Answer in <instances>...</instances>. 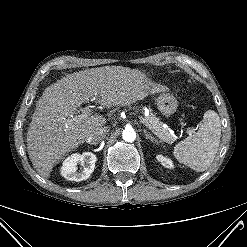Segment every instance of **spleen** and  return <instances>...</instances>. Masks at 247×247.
<instances>
[{"label": "spleen", "mask_w": 247, "mask_h": 247, "mask_svg": "<svg viewBox=\"0 0 247 247\" xmlns=\"http://www.w3.org/2000/svg\"><path fill=\"white\" fill-rule=\"evenodd\" d=\"M197 133L179 142L173 151L174 157L196 172L206 170L213 162L221 137V122L215 111L204 113Z\"/></svg>", "instance_id": "3e777b00"}]
</instances>
